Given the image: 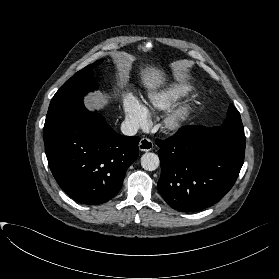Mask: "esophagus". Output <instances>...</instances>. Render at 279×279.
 Here are the masks:
<instances>
[{
  "label": "esophagus",
  "instance_id": "esophagus-1",
  "mask_svg": "<svg viewBox=\"0 0 279 279\" xmlns=\"http://www.w3.org/2000/svg\"><path fill=\"white\" fill-rule=\"evenodd\" d=\"M153 142L148 138H142L139 142V149L143 152H148L153 149Z\"/></svg>",
  "mask_w": 279,
  "mask_h": 279
}]
</instances>
